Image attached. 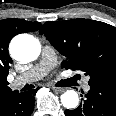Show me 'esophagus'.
I'll use <instances>...</instances> for the list:
<instances>
[{
    "label": "esophagus",
    "mask_w": 116,
    "mask_h": 116,
    "mask_svg": "<svg viewBox=\"0 0 116 116\" xmlns=\"http://www.w3.org/2000/svg\"><path fill=\"white\" fill-rule=\"evenodd\" d=\"M50 87L55 91V92H57V93H62V92H64L65 91V89L64 88H61V87H56L55 85H53V84H50Z\"/></svg>",
    "instance_id": "esophagus-1"
}]
</instances>
